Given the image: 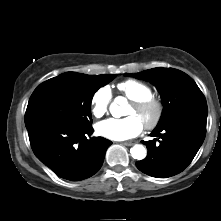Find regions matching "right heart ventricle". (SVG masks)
Segmentation results:
<instances>
[{"instance_id":"obj_1","label":"right heart ventricle","mask_w":221,"mask_h":221,"mask_svg":"<svg viewBox=\"0 0 221 221\" xmlns=\"http://www.w3.org/2000/svg\"><path fill=\"white\" fill-rule=\"evenodd\" d=\"M119 92L130 101H137L153 96V91L144 82L129 79L117 85Z\"/></svg>"}]
</instances>
